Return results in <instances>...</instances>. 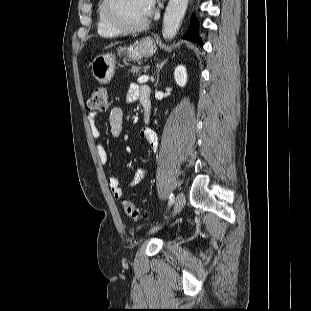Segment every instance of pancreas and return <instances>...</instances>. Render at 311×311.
<instances>
[{
    "label": "pancreas",
    "instance_id": "cf45deb5",
    "mask_svg": "<svg viewBox=\"0 0 311 311\" xmlns=\"http://www.w3.org/2000/svg\"><path fill=\"white\" fill-rule=\"evenodd\" d=\"M146 67L144 68H141V67H137V66H133L131 69H130V73L133 74V75H138L141 73V71H146Z\"/></svg>",
    "mask_w": 311,
    "mask_h": 311
}]
</instances>
